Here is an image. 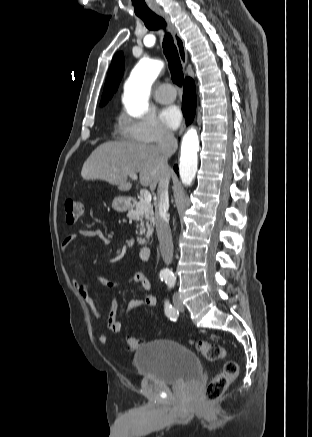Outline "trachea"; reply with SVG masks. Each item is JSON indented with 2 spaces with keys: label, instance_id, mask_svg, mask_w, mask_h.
I'll return each instance as SVG.
<instances>
[{
  "label": "trachea",
  "instance_id": "obj_1",
  "mask_svg": "<svg viewBox=\"0 0 312 437\" xmlns=\"http://www.w3.org/2000/svg\"><path fill=\"white\" fill-rule=\"evenodd\" d=\"M139 18L144 22L149 30L165 29L166 23L163 18L156 14L139 15ZM163 50L167 58L172 80L178 86H182L184 75L182 71L181 61L178 55L177 48L169 33H165L163 39Z\"/></svg>",
  "mask_w": 312,
  "mask_h": 437
}]
</instances>
